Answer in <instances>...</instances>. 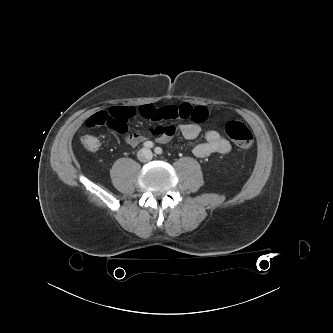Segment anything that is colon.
Segmentation results:
<instances>
[{"mask_svg":"<svg viewBox=\"0 0 333 333\" xmlns=\"http://www.w3.org/2000/svg\"><path fill=\"white\" fill-rule=\"evenodd\" d=\"M135 111L133 109H128L125 112L126 121H128ZM110 121L108 115L100 116L101 125H107ZM225 133L227 136L239 147L249 148L253 144V134L250 129L242 122L237 120L228 121L224 126ZM81 143L85 149L88 151H96L100 147L99 139L92 135L86 134L81 138Z\"/></svg>","mask_w":333,"mask_h":333,"instance_id":"colon-1","label":"colon"}]
</instances>
